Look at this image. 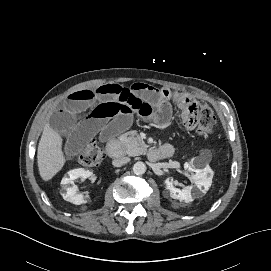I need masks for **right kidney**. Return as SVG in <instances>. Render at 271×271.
Segmentation results:
<instances>
[{
	"instance_id": "1",
	"label": "right kidney",
	"mask_w": 271,
	"mask_h": 271,
	"mask_svg": "<svg viewBox=\"0 0 271 271\" xmlns=\"http://www.w3.org/2000/svg\"><path fill=\"white\" fill-rule=\"evenodd\" d=\"M68 175L63 177L61 184H62V196L64 200L69 201L73 204L80 205L87 203L89 198L88 195L84 196L82 193H77V186L74 184L75 179L83 178L87 179L93 175L90 170H85L83 168H76L70 170Z\"/></svg>"
}]
</instances>
